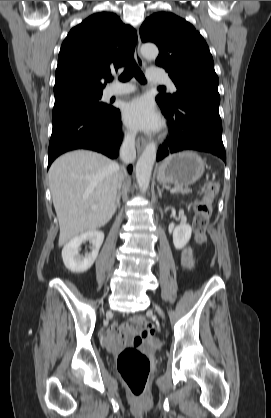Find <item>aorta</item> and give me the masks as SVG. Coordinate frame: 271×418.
I'll use <instances>...</instances> for the list:
<instances>
[{
    "mask_svg": "<svg viewBox=\"0 0 271 418\" xmlns=\"http://www.w3.org/2000/svg\"><path fill=\"white\" fill-rule=\"evenodd\" d=\"M141 53L145 58L155 59L158 56V48L154 44H145L141 47ZM157 146L150 142L140 155L136 164V180L142 192H146L156 160Z\"/></svg>",
    "mask_w": 271,
    "mask_h": 418,
    "instance_id": "obj_1",
    "label": "aorta"
}]
</instances>
